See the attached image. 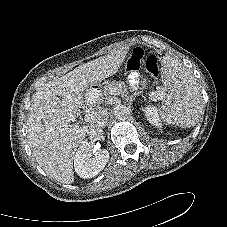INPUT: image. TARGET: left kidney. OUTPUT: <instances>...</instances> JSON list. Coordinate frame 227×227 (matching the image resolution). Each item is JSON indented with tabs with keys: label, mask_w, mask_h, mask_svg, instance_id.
<instances>
[{
	"label": "left kidney",
	"mask_w": 227,
	"mask_h": 227,
	"mask_svg": "<svg viewBox=\"0 0 227 227\" xmlns=\"http://www.w3.org/2000/svg\"><path fill=\"white\" fill-rule=\"evenodd\" d=\"M143 112L146 115L147 120L149 123H151L153 126H160V119L158 117L157 109L152 106H147L143 109Z\"/></svg>",
	"instance_id": "5707ae66"
}]
</instances>
